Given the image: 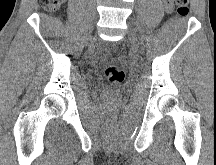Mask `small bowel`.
<instances>
[{
    "mask_svg": "<svg viewBox=\"0 0 216 165\" xmlns=\"http://www.w3.org/2000/svg\"><path fill=\"white\" fill-rule=\"evenodd\" d=\"M164 3L167 9L172 8V0H164Z\"/></svg>",
    "mask_w": 216,
    "mask_h": 165,
    "instance_id": "1",
    "label": "small bowel"
}]
</instances>
